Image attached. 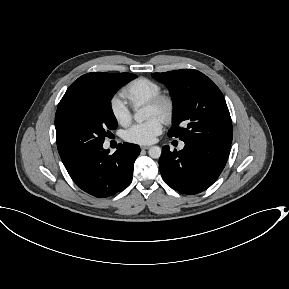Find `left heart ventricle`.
I'll return each instance as SVG.
<instances>
[{"label":"left heart ventricle","instance_id":"1","mask_svg":"<svg viewBox=\"0 0 289 289\" xmlns=\"http://www.w3.org/2000/svg\"><path fill=\"white\" fill-rule=\"evenodd\" d=\"M154 116H157L156 111L153 108L147 106L146 107V117L151 118Z\"/></svg>","mask_w":289,"mask_h":289}]
</instances>
